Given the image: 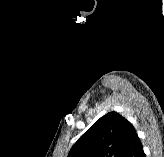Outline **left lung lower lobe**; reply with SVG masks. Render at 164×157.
<instances>
[{
  "mask_svg": "<svg viewBox=\"0 0 164 157\" xmlns=\"http://www.w3.org/2000/svg\"><path fill=\"white\" fill-rule=\"evenodd\" d=\"M122 157H145L142 144L137 134L131 139Z\"/></svg>",
  "mask_w": 164,
  "mask_h": 157,
  "instance_id": "left-lung-lower-lobe-1",
  "label": "left lung lower lobe"
}]
</instances>
